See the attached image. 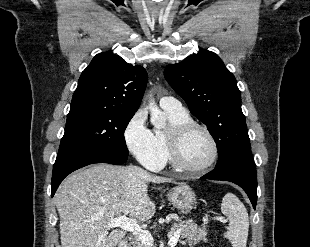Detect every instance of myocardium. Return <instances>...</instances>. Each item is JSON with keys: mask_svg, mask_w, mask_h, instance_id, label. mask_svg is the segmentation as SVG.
Instances as JSON below:
<instances>
[{"mask_svg": "<svg viewBox=\"0 0 310 247\" xmlns=\"http://www.w3.org/2000/svg\"><path fill=\"white\" fill-rule=\"evenodd\" d=\"M202 131L209 139L212 146V156L210 160L201 167H190L184 160L182 155V143L184 138L191 132ZM168 148L172 164L181 171L190 175H201L209 170L217 161L219 156V148L217 141L211 131L204 125L195 121L175 124L170 127L167 133Z\"/></svg>", "mask_w": 310, "mask_h": 247, "instance_id": "obj_1", "label": "myocardium"}]
</instances>
